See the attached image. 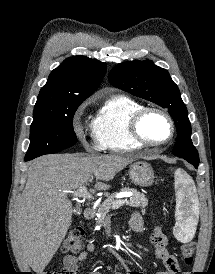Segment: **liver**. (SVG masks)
Instances as JSON below:
<instances>
[{"label":"liver","mask_w":215,"mask_h":274,"mask_svg":"<svg viewBox=\"0 0 215 274\" xmlns=\"http://www.w3.org/2000/svg\"><path fill=\"white\" fill-rule=\"evenodd\" d=\"M134 159L118 154L82 156L54 154L34 160L14 214V244L30 267L42 274L72 223L68 193L96 177V190Z\"/></svg>","instance_id":"6515ba94"}]
</instances>
